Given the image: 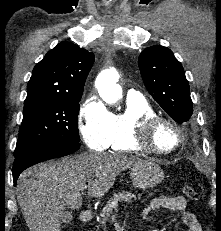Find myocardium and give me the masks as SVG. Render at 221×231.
<instances>
[{
	"label": "myocardium",
	"mask_w": 221,
	"mask_h": 231,
	"mask_svg": "<svg viewBox=\"0 0 221 231\" xmlns=\"http://www.w3.org/2000/svg\"><path fill=\"white\" fill-rule=\"evenodd\" d=\"M170 127L176 136L175 144L169 149H160L154 143L155 131L161 126ZM135 142L144 150L156 155H169L176 151L182 143V132L180 127L171 119L160 115H146L140 118L135 124Z\"/></svg>",
	"instance_id": "1"
}]
</instances>
